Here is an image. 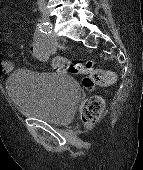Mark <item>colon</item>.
Masks as SVG:
<instances>
[{"mask_svg":"<svg viewBox=\"0 0 143 170\" xmlns=\"http://www.w3.org/2000/svg\"><path fill=\"white\" fill-rule=\"evenodd\" d=\"M57 69H68L72 74L82 75L85 88L93 89L96 86H107L115 82L116 76L111 71L100 70L95 67V62L89 60L85 63H75L67 66L63 59H57ZM104 110V101L98 95L88 96L81 108V119L86 125L99 120Z\"/></svg>","mask_w":143,"mask_h":170,"instance_id":"colon-1","label":"colon"}]
</instances>
